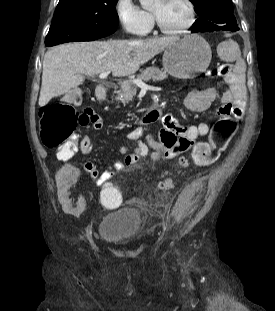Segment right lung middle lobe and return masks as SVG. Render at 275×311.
<instances>
[{"label": "right lung middle lobe", "mask_w": 275, "mask_h": 311, "mask_svg": "<svg viewBox=\"0 0 275 311\" xmlns=\"http://www.w3.org/2000/svg\"><path fill=\"white\" fill-rule=\"evenodd\" d=\"M118 0H59L45 45L90 41L114 33L119 24Z\"/></svg>", "instance_id": "1"}]
</instances>
